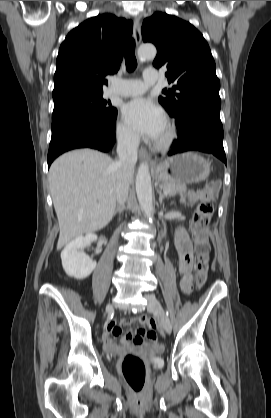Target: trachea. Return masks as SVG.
Instances as JSON below:
<instances>
[{"mask_svg":"<svg viewBox=\"0 0 271 418\" xmlns=\"http://www.w3.org/2000/svg\"><path fill=\"white\" fill-rule=\"evenodd\" d=\"M135 41L131 38L125 46V63L128 72H132L137 67V60L134 53Z\"/></svg>","mask_w":271,"mask_h":418,"instance_id":"trachea-1","label":"trachea"}]
</instances>
